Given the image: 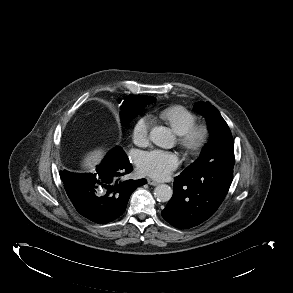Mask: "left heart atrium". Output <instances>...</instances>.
<instances>
[{
  "mask_svg": "<svg viewBox=\"0 0 293 293\" xmlns=\"http://www.w3.org/2000/svg\"><path fill=\"white\" fill-rule=\"evenodd\" d=\"M137 164L142 174L162 180L179 166V158L172 152L151 150L141 153Z\"/></svg>",
  "mask_w": 293,
  "mask_h": 293,
  "instance_id": "1",
  "label": "left heart atrium"
}]
</instances>
